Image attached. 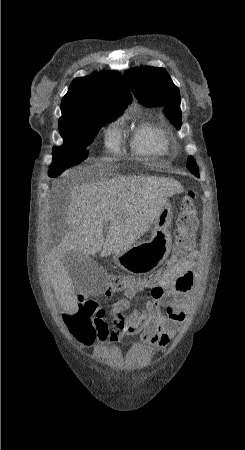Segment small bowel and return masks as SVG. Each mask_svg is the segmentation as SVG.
I'll list each match as a JSON object with an SVG mask.
<instances>
[{
	"instance_id": "c3829d8e",
	"label": "small bowel",
	"mask_w": 245,
	"mask_h": 450,
	"mask_svg": "<svg viewBox=\"0 0 245 450\" xmlns=\"http://www.w3.org/2000/svg\"><path fill=\"white\" fill-rule=\"evenodd\" d=\"M197 254L194 251L187 259L169 265L163 273L154 276L153 281L144 280L135 287L125 289V298L112 303L109 315L111 329L101 321L95 326L93 341L116 343L127 333L140 332L141 341L152 350L164 349L185 320L190 302L187 293L194 282ZM158 283L164 286L162 293ZM141 291H146L148 298L141 307H133L131 301ZM111 295V290H107L102 298ZM77 306L75 299H64L61 317L65 320L75 313ZM93 341L84 342L88 345Z\"/></svg>"
}]
</instances>
